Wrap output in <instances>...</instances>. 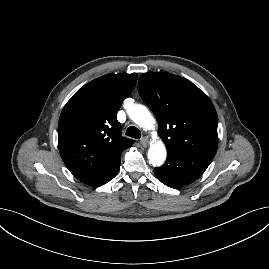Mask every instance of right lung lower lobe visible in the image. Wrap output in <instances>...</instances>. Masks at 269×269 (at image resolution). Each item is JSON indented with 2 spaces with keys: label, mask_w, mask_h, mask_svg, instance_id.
I'll use <instances>...</instances> for the list:
<instances>
[{
  "label": "right lung lower lobe",
  "mask_w": 269,
  "mask_h": 269,
  "mask_svg": "<svg viewBox=\"0 0 269 269\" xmlns=\"http://www.w3.org/2000/svg\"><path fill=\"white\" fill-rule=\"evenodd\" d=\"M117 172H118V170L115 172V174H114L110 179H112V178L116 175ZM110 179H109V180H110ZM109 180H108V181H109ZM108 181H107V182H108Z\"/></svg>",
  "instance_id": "right-lung-lower-lobe-1"
}]
</instances>
